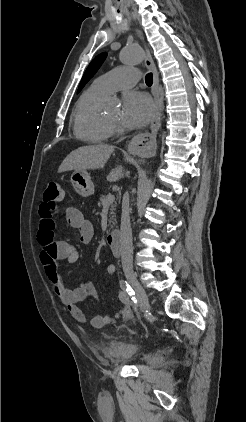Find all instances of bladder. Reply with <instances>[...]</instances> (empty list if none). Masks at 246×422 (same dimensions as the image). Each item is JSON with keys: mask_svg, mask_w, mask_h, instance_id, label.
Here are the masks:
<instances>
[{"mask_svg": "<svg viewBox=\"0 0 246 422\" xmlns=\"http://www.w3.org/2000/svg\"><path fill=\"white\" fill-rule=\"evenodd\" d=\"M99 350L109 359L126 361L136 358L139 355L140 347L132 341L107 340L100 345ZM154 360L159 362L161 358L155 356Z\"/></svg>", "mask_w": 246, "mask_h": 422, "instance_id": "1", "label": "bladder"}]
</instances>
